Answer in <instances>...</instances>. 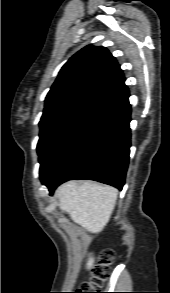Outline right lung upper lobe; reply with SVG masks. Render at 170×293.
Wrapping results in <instances>:
<instances>
[{"instance_id": "1", "label": "right lung upper lobe", "mask_w": 170, "mask_h": 293, "mask_svg": "<svg viewBox=\"0 0 170 293\" xmlns=\"http://www.w3.org/2000/svg\"><path fill=\"white\" fill-rule=\"evenodd\" d=\"M125 78L105 47L86 46L62 67L45 100L41 121L69 107L111 108L129 97Z\"/></svg>"}]
</instances>
